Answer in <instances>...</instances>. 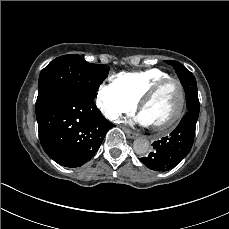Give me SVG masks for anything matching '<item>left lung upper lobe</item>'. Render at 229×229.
<instances>
[{"instance_id":"left-lung-upper-lobe-1","label":"left lung upper lobe","mask_w":229,"mask_h":229,"mask_svg":"<svg viewBox=\"0 0 229 229\" xmlns=\"http://www.w3.org/2000/svg\"><path fill=\"white\" fill-rule=\"evenodd\" d=\"M165 62L175 69L182 85H192L195 81L193 74L177 61L165 60Z\"/></svg>"}]
</instances>
